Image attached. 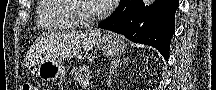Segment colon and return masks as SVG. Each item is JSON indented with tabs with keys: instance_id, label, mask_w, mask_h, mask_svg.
Listing matches in <instances>:
<instances>
[{
	"instance_id": "obj_1",
	"label": "colon",
	"mask_w": 216,
	"mask_h": 90,
	"mask_svg": "<svg viewBox=\"0 0 216 90\" xmlns=\"http://www.w3.org/2000/svg\"><path fill=\"white\" fill-rule=\"evenodd\" d=\"M22 90H37V88L34 83L26 82L23 84Z\"/></svg>"
}]
</instances>
